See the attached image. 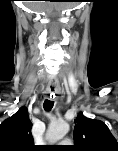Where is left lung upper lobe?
Returning <instances> with one entry per match:
<instances>
[{
  "label": "left lung upper lobe",
  "instance_id": "1",
  "mask_svg": "<svg viewBox=\"0 0 118 151\" xmlns=\"http://www.w3.org/2000/svg\"><path fill=\"white\" fill-rule=\"evenodd\" d=\"M73 136L78 151H118V143L105 123L82 113L75 120Z\"/></svg>",
  "mask_w": 118,
  "mask_h": 151
}]
</instances>
